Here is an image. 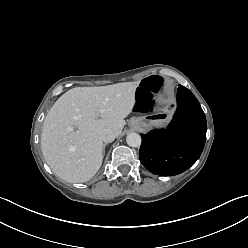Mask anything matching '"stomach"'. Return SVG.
I'll return each mask as SVG.
<instances>
[{
    "label": "stomach",
    "instance_id": "stomach-1",
    "mask_svg": "<svg viewBox=\"0 0 248 248\" xmlns=\"http://www.w3.org/2000/svg\"><path fill=\"white\" fill-rule=\"evenodd\" d=\"M165 119L161 117V113H147L143 116L133 117L131 119V126L147 130L154 126L162 125L165 123Z\"/></svg>",
    "mask_w": 248,
    "mask_h": 248
}]
</instances>
